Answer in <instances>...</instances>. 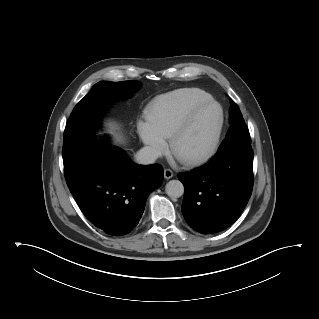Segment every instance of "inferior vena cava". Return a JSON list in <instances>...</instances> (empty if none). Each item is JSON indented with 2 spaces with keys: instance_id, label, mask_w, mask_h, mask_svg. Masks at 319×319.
<instances>
[{
  "instance_id": "1",
  "label": "inferior vena cava",
  "mask_w": 319,
  "mask_h": 319,
  "mask_svg": "<svg viewBox=\"0 0 319 319\" xmlns=\"http://www.w3.org/2000/svg\"><path fill=\"white\" fill-rule=\"evenodd\" d=\"M160 155L161 153L158 149L145 146L136 153L135 160L138 164L149 165L154 163Z\"/></svg>"
}]
</instances>
